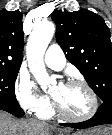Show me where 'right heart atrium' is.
<instances>
[{
	"mask_svg": "<svg viewBox=\"0 0 112 135\" xmlns=\"http://www.w3.org/2000/svg\"><path fill=\"white\" fill-rule=\"evenodd\" d=\"M14 93L20 106L30 112L39 113L49 106V98L40 92L25 73H19L14 83Z\"/></svg>",
	"mask_w": 112,
	"mask_h": 135,
	"instance_id": "right-heart-atrium-1",
	"label": "right heart atrium"
}]
</instances>
